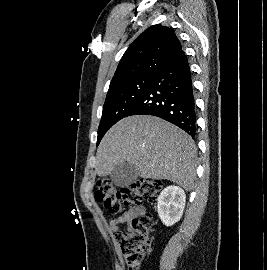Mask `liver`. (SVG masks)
Returning a JSON list of instances; mask_svg holds the SVG:
<instances>
[{"mask_svg": "<svg viewBox=\"0 0 267 270\" xmlns=\"http://www.w3.org/2000/svg\"><path fill=\"white\" fill-rule=\"evenodd\" d=\"M196 146L177 126L150 115H135L116 123L96 153L98 176L130 162L143 179L169 180L189 191L195 178Z\"/></svg>", "mask_w": 267, "mask_h": 270, "instance_id": "6515ba94", "label": "liver"}]
</instances>
